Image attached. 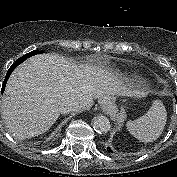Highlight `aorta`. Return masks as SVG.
Wrapping results in <instances>:
<instances>
[{
	"mask_svg": "<svg viewBox=\"0 0 177 177\" xmlns=\"http://www.w3.org/2000/svg\"><path fill=\"white\" fill-rule=\"evenodd\" d=\"M93 129L100 134H105L110 130V121L107 117L99 115L93 118Z\"/></svg>",
	"mask_w": 177,
	"mask_h": 177,
	"instance_id": "obj_1",
	"label": "aorta"
}]
</instances>
